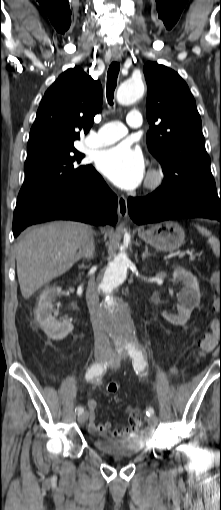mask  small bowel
I'll use <instances>...</instances> for the list:
<instances>
[{"label":"small bowel","instance_id":"1","mask_svg":"<svg viewBox=\"0 0 221 510\" xmlns=\"http://www.w3.org/2000/svg\"><path fill=\"white\" fill-rule=\"evenodd\" d=\"M172 373H175V369L171 370ZM97 402L93 399H89L87 401V408L89 411V423L88 427L90 432L99 435L101 437H114V438H125V437H131L133 436L136 431L137 427L139 425V416H137L134 412L136 409L132 406L127 407V425L123 428L111 430V424L109 422H104L98 424L96 422V409H97Z\"/></svg>","mask_w":221,"mask_h":510}]
</instances>
